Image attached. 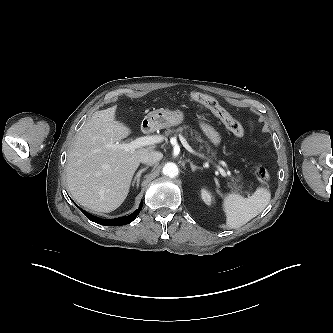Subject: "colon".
Here are the masks:
<instances>
[{
	"label": "colon",
	"mask_w": 333,
	"mask_h": 333,
	"mask_svg": "<svg viewBox=\"0 0 333 333\" xmlns=\"http://www.w3.org/2000/svg\"><path fill=\"white\" fill-rule=\"evenodd\" d=\"M190 97L207 107L223 124L224 126L236 137L242 138L244 136V129L242 125L235 120L214 98L201 93L191 92ZM255 176L261 183H267L270 179L269 171L265 167H258L255 169Z\"/></svg>",
	"instance_id": "5ec220e1"
}]
</instances>
